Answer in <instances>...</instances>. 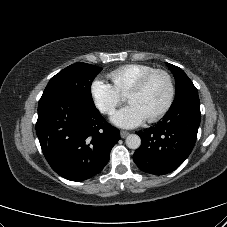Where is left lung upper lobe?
<instances>
[{
	"mask_svg": "<svg viewBox=\"0 0 227 227\" xmlns=\"http://www.w3.org/2000/svg\"><path fill=\"white\" fill-rule=\"evenodd\" d=\"M167 66L176 80V95L173 104L186 96L198 94L196 87L181 68L169 63H167Z\"/></svg>",
	"mask_w": 227,
	"mask_h": 227,
	"instance_id": "left-lung-upper-lobe-1",
	"label": "left lung upper lobe"
}]
</instances>
